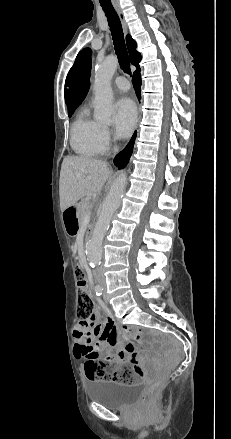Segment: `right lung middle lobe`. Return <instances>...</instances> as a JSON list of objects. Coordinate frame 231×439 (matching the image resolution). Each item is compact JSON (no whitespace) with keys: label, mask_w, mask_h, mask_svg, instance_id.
Masks as SVG:
<instances>
[{"label":"right lung middle lobe","mask_w":231,"mask_h":439,"mask_svg":"<svg viewBox=\"0 0 231 439\" xmlns=\"http://www.w3.org/2000/svg\"><path fill=\"white\" fill-rule=\"evenodd\" d=\"M75 109H76V108L71 109V110H68V115H69V117H71V115L73 114V112H74Z\"/></svg>","instance_id":"1"}]
</instances>
